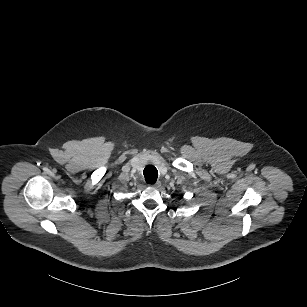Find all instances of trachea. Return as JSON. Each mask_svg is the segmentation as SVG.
I'll use <instances>...</instances> for the list:
<instances>
[{
	"label": "trachea",
	"instance_id": "3493384b",
	"mask_svg": "<svg viewBox=\"0 0 307 307\" xmlns=\"http://www.w3.org/2000/svg\"><path fill=\"white\" fill-rule=\"evenodd\" d=\"M143 173L147 183L153 184L156 182L158 177V171L154 166L152 165L146 166Z\"/></svg>",
	"mask_w": 307,
	"mask_h": 307
}]
</instances>
